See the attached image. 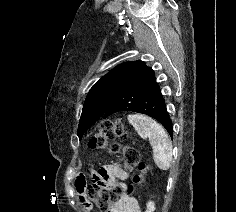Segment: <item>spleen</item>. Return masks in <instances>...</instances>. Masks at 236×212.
<instances>
[{"instance_id":"obj_1","label":"spleen","mask_w":236,"mask_h":212,"mask_svg":"<svg viewBox=\"0 0 236 212\" xmlns=\"http://www.w3.org/2000/svg\"><path fill=\"white\" fill-rule=\"evenodd\" d=\"M128 121L141 138L149 140L156 165L162 170H168L172 162V144L164 128L142 114L128 115Z\"/></svg>"}]
</instances>
